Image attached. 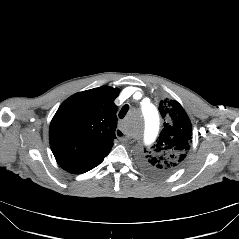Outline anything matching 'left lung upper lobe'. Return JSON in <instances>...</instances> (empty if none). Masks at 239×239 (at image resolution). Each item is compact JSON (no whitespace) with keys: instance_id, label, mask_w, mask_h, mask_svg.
Returning a JSON list of instances; mask_svg holds the SVG:
<instances>
[{"instance_id":"obj_1","label":"left lung upper lobe","mask_w":239,"mask_h":239,"mask_svg":"<svg viewBox=\"0 0 239 239\" xmlns=\"http://www.w3.org/2000/svg\"><path fill=\"white\" fill-rule=\"evenodd\" d=\"M159 111L164 127L141 163L148 171L165 175L176 171L186 160L192 142V124L176 100H162Z\"/></svg>"}]
</instances>
